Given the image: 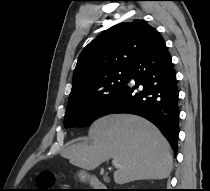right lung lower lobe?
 Listing matches in <instances>:
<instances>
[{"label": "right lung lower lobe", "mask_w": 210, "mask_h": 191, "mask_svg": "<svg viewBox=\"0 0 210 191\" xmlns=\"http://www.w3.org/2000/svg\"><path fill=\"white\" fill-rule=\"evenodd\" d=\"M128 82L107 102L99 117L131 113L154 123L174 151L178 142L179 106L177 80L171 56L159 34L129 67ZM130 79L135 86H130Z\"/></svg>", "instance_id": "1"}]
</instances>
